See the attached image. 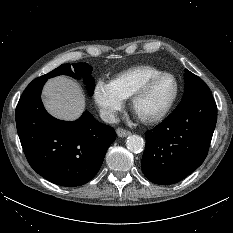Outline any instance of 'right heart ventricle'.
<instances>
[{
	"mask_svg": "<svg viewBox=\"0 0 233 233\" xmlns=\"http://www.w3.org/2000/svg\"><path fill=\"white\" fill-rule=\"evenodd\" d=\"M162 72L152 65H137L117 74L112 83L122 98L128 99L148 78Z\"/></svg>",
	"mask_w": 233,
	"mask_h": 233,
	"instance_id": "obj_1",
	"label": "right heart ventricle"
}]
</instances>
